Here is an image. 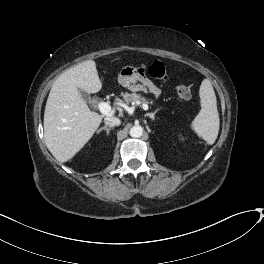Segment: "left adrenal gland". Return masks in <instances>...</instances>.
I'll return each instance as SVG.
<instances>
[{
	"label": "left adrenal gland",
	"mask_w": 264,
	"mask_h": 264,
	"mask_svg": "<svg viewBox=\"0 0 264 264\" xmlns=\"http://www.w3.org/2000/svg\"><path fill=\"white\" fill-rule=\"evenodd\" d=\"M159 111V109L155 110L153 113H146L145 116L150 117L152 120H155V114Z\"/></svg>",
	"instance_id": "a2214340"
}]
</instances>
